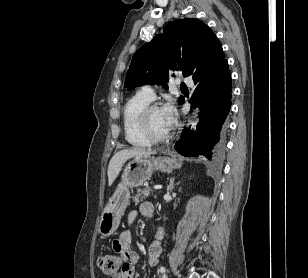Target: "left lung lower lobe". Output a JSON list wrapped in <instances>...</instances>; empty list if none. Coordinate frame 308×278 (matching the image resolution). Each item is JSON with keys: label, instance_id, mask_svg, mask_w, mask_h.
I'll use <instances>...</instances> for the list:
<instances>
[{"label": "left lung lower lobe", "instance_id": "obj_1", "mask_svg": "<svg viewBox=\"0 0 308 278\" xmlns=\"http://www.w3.org/2000/svg\"><path fill=\"white\" fill-rule=\"evenodd\" d=\"M194 83L197 86L190 103L200 105V123L196 132L189 129L183 132L175 149L183 156L203 155L211 159L224 144L225 119L231 107V76L227 60L208 75L194 79Z\"/></svg>", "mask_w": 308, "mask_h": 278}]
</instances>
